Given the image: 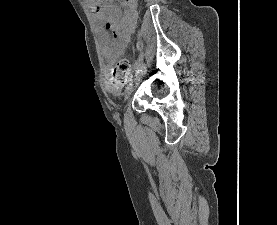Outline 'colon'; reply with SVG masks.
<instances>
[{"mask_svg": "<svg viewBox=\"0 0 277 225\" xmlns=\"http://www.w3.org/2000/svg\"><path fill=\"white\" fill-rule=\"evenodd\" d=\"M130 77V64L126 59H120L113 69V81L116 84H124Z\"/></svg>", "mask_w": 277, "mask_h": 225, "instance_id": "obj_1", "label": "colon"}]
</instances>
